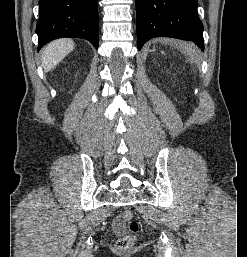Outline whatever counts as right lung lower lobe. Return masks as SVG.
Here are the masks:
<instances>
[{"mask_svg":"<svg viewBox=\"0 0 247 257\" xmlns=\"http://www.w3.org/2000/svg\"><path fill=\"white\" fill-rule=\"evenodd\" d=\"M38 51L62 37L83 38L98 49L97 0H39Z\"/></svg>","mask_w":247,"mask_h":257,"instance_id":"1","label":"right lung lower lobe"}]
</instances>
